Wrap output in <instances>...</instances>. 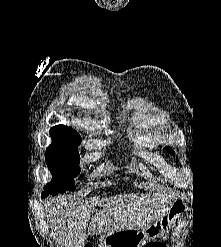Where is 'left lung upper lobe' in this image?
Segmentation results:
<instances>
[{
	"label": "left lung upper lobe",
	"mask_w": 221,
	"mask_h": 247,
	"mask_svg": "<svg viewBox=\"0 0 221 247\" xmlns=\"http://www.w3.org/2000/svg\"><path fill=\"white\" fill-rule=\"evenodd\" d=\"M165 150H166L167 152H169L171 155H175L174 150L171 149L170 147H165Z\"/></svg>",
	"instance_id": "5c2ea615"
}]
</instances>
